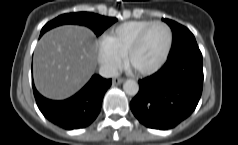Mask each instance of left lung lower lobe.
Here are the masks:
<instances>
[{
  "mask_svg": "<svg viewBox=\"0 0 238 145\" xmlns=\"http://www.w3.org/2000/svg\"><path fill=\"white\" fill-rule=\"evenodd\" d=\"M174 31H183L178 25ZM139 92L130 102L135 117L145 126L174 128L195 110L203 88L202 54L191 46L169 55L155 74L139 80Z\"/></svg>",
  "mask_w": 238,
  "mask_h": 145,
  "instance_id": "1",
  "label": "left lung lower lobe"
}]
</instances>
